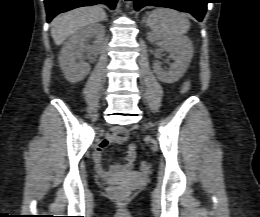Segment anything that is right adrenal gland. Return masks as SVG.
Wrapping results in <instances>:
<instances>
[{"mask_svg":"<svg viewBox=\"0 0 260 217\" xmlns=\"http://www.w3.org/2000/svg\"><path fill=\"white\" fill-rule=\"evenodd\" d=\"M108 19H107V17L105 18V21H107Z\"/></svg>","mask_w":260,"mask_h":217,"instance_id":"2a0ac1e0","label":"right adrenal gland"}]
</instances>
